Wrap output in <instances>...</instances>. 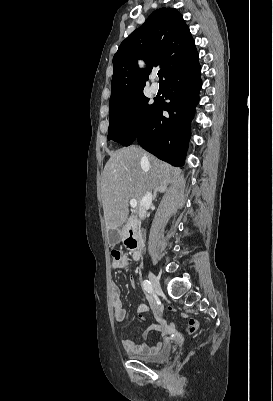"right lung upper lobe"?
<instances>
[{"mask_svg":"<svg viewBox=\"0 0 273 401\" xmlns=\"http://www.w3.org/2000/svg\"><path fill=\"white\" fill-rule=\"evenodd\" d=\"M197 58L183 16L174 8L156 10L121 43L113 57L110 107L143 93L154 65H161L166 78L174 68ZM138 59L146 62L144 71L139 69Z\"/></svg>","mask_w":273,"mask_h":401,"instance_id":"cb5924a9","label":"right lung upper lobe"}]
</instances>
